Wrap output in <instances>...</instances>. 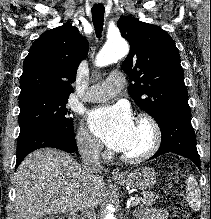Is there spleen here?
Masks as SVG:
<instances>
[{
	"label": "spleen",
	"mask_w": 211,
	"mask_h": 219,
	"mask_svg": "<svg viewBox=\"0 0 211 219\" xmlns=\"http://www.w3.org/2000/svg\"><path fill=\"white\" fill-rule=\"evenodd\" d=\"M187 200L189 206L194 211H199L201 207V191L199 189L197 180L193 175L187 179Z\"/></svg>",
	"instance_id": "obj_1"
}]
</instances>
